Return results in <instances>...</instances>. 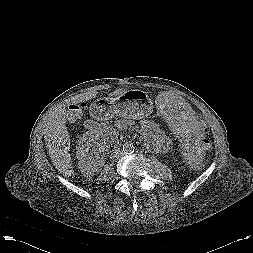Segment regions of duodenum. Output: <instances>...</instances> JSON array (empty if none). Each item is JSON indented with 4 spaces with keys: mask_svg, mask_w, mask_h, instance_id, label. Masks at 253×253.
<instances>
[{
    "mask_svg": "<svg viewBox=\"0 0 253 253\" xmlns=\"http://www.w3.org/2000/svg\"><path fill=\"white\" fill-rule=\"evenodd\" d=\"M93 113H104L105 108L100 107L99 105H94L92 108Z\"/></svg>",
    "mask_w": 253,
    "mask_h": 253,
    "instance_id": "410a0bca",
    "label": "duodenum"
}]
</instances>
